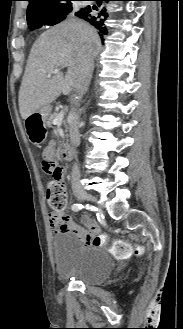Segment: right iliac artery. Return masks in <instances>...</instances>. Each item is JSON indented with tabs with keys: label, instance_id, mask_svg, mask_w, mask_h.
<instances>
[{
	"label": "right iliac artery",
	"instance_id": "1",
	"mask_svg": "<svg viewBox=\"0 0 183 329\" xmlns=\"http://www.w3.org/2000/svg\"><path fill=\"white\" fill-rule=\"evenodd\" d=\"M82 208H83V205L82 204H73L71 206V209L73 211H75V212L81 210ZM86 209H88V210H95V208L93 206L89 205V204L86 205Z\"/></svg>",
	"mask_w": 183,
	"mask_h": 329
}]
</instances>
